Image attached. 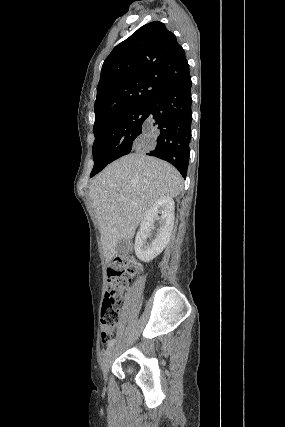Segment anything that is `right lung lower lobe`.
<instances>
[{"instance_id": "right-lung-lower-lobe-1", "label": "right lung lower lobe", "mask_w": 285, "mask_h": 427, "mask_svg": "<svg viewBox=\"0 0 285 427\" xmlns=\"http://www.w3.org/2000/svg\"><path fill=\"white\" fill-rule=\"evenodd\" d=\"M190 73L147 104L143 135L148 155L174 165L185 178L189 164L192 98Z\"/></svg>"}]
</instances>
